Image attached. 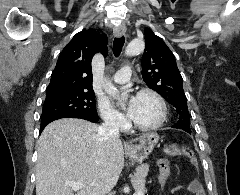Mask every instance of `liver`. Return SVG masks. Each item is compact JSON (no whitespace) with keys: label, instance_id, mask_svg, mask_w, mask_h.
Segmentation results:
<instances>
[{"label":"liver","instance_id":"6515ba94","mask_svg":"<svg viewBox=\"0 0 240 195\" xmlns=\"http://www.w3.org/2000/svg\"><path fill=\"white\" fill-rule=\"evenodd\" d=\"M99 125L86 119L62 117L46 125L39 137L36 195L109 193L124 167L121 139H105ZM66 181L86 187L71 189Z\"/></svg>","mask_w":240,"mask_h":195}]
</instances>
